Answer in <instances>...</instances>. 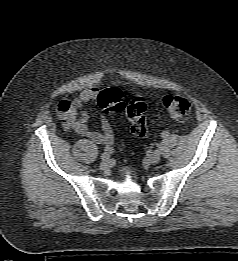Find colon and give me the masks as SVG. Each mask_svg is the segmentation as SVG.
I'll list each match as a JSON object with an SVG mask.
<instances>
[{"mask_svg": "<svg viewBox=\"0 0 238 261\" xmlns=\"http://www.w3.org/2000/svg\"><path fill=\"white\" fill-rule=\"evenodd\" d=\"M97 102L106 113L125 114L135 136L145 138L149 135L145 117L146 103L142 97L135 96L126 102L122 92L111 87L100 92ZM162 103L169 115L176 120H185L191 109L190 101L177 95H165Z\"/></svg>", "mask_w": 238, "mask_h": 261, "instance_id": "colon-1", "label": "colon"}]
</instances>
